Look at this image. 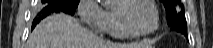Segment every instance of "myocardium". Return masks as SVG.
Instances as JSON below:
<instances>
[{
	"mask_svg": "<svg viewBox=\"0 0 213 48\" xmlns=\"http://www.w3.org/2000/svg\"><path fill=\"white\" fill-rule=\"evenodd\" d=\"M136 1H143L146 2L147 4H149L151 6V8L153 9L154 12V27L146 32H139L137 30H135L127 21L126 17L124 16V14L122 13V9L129 6L131 3L136 2ZM119 23L121 25V27L123 28V30L130 36L132 37H146L149 36L153 33H155L159 26H160V17H159V11L158 8L156 6V4L154 3V1L152 0H122L120 2V4L117 6V8L115 9Z\"/></svg>",
	"mask_w": 213,
	"mask_h": 48,
	"instance_id": "f54148a6",
	"label": "myocardium"
}]
</instances>
